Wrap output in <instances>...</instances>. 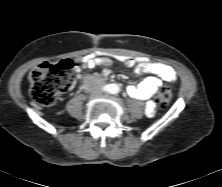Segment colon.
Instances as JSON below:
<instances>
[{
  "label": "colon",
  "mask_w": 222,
  "mask_h": 187,
  "mask_svg": "<svg viewBox=\"0 0 222 187\" xmlns=\"http://www.w3.org/2000/svg\"><path fill=\"white\" fill-rule=\"evenodd\" d=\"M75 63L64 60L57 64L42 63L34 67L29 74L30 94L32 99L41 106H50L58 96L72 86L75 74ZM172 100L169 89L162 87L156 96V105L166 107Z\"/></svg>",
  "instance_id": "obj_1"
}]
</instances>
